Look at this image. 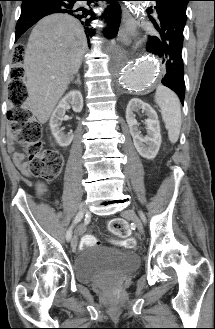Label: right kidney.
I'll use <instances>...</instances> for the list:
<instances>
[{
  "label": "right kidney",
  "instance_id": "obj_1",
  "mask_svg": "<svg viewBox=\"0 0 215 329\" xmlns=\"http://www.w3.org/2000/svg\"><path fill=\"white\" fill-rule=\"evenodd\" d=\"M72 108L74 112L79 113L83 108V97L80 91L72 90L67 93L58 103L56 109L50 118V129L56 142L61 147H67L71 144L74 135L72 133H64L61 122L67 108Z\"/></svg>",
  "mask_w": 215,
  "mask_h": 329
}]
</instances>
